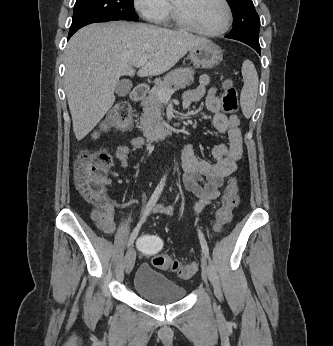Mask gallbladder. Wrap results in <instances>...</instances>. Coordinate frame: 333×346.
Masks as SVG:
<instances>
[{
    "label": "gallbladder",
    "mask_w": 333,
    "mask_h": 346,
    "mask_svg": "<svg viewBox=\"0 0 333 346\" xmlns=\"http://www.w3.org/2000/svg\"><path fill=\"white\" fill-rule=\"evenodd\" d=\"M132 89V82L130 80H122L117 83L115 92L118 96H126Z\"/></svg>",
    "instance_id": "1"
}]
</instances>
